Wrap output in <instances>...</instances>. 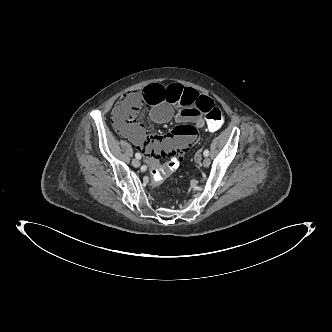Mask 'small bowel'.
Instances as JSON below:
<instances>
[{"label":"small bowel","instance_id":"c3829d8e","mask_svg":"<svg viewBox=\"0 0 332 332\" xmlns=\"http://www.w3.org/2000/svg\"><path fill=\"white\" fill-rule=\"evenodd\" d=\"M141 103L150 112L153 122L166 123L172 119L178 122L172 132L162 135L147 134L138 123L120 128L115 125L120 135L143 151L150 166H155L159 161L167 162L171 157L181 160L186 149L198 145V129L213 130L203 119L205 111L214 105L213 99L180 83H171L165 87L160 84L148 85L142 91ZM175 107L180 109L175 112ZM195 158L200 159L199 155Z\"/></svg>","mask_w":332,"mask_h":332}]
</instances>
